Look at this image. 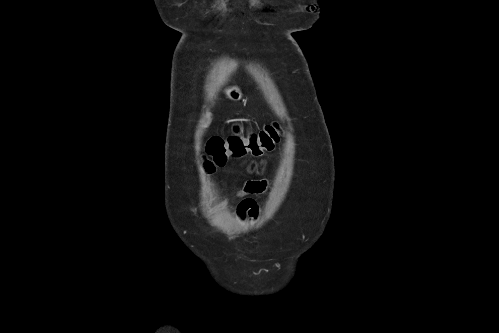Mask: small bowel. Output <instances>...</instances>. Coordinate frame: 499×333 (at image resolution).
<instances>
[{"instance_id": "obj_1", "label": "small bowel", "mask_w": 499, "mask_h": 333, "mask_svg": "<svg viewBox=\"0 0 499 333\" xmlns=\"http://www.w3.org/2000/svg\"><path fill=\"white\" fill-rule=\"evenodd\" d=\"M233 134H242L241 131H235ZM267 188V183L264 180H253L248 181L242 191L239 192L240 197L246 195H256L264 192ZM238 216L240 219H245L246 217H256L257 216V206L253 199L244 198L238 206Z\"/></svg>"}]
</instances>
